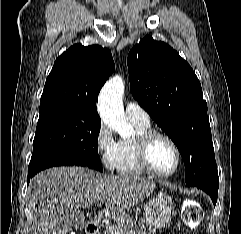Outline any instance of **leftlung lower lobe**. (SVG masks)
<instances>
[{"mask_svg": "<svg viewBox=\"0 0 241 234\" xmlns=\"http://www.w3.org/2000/svg\"><path fill=\"white\" fill-rule=\"evenodd\" d=\"M195 187H198L202 190H204L207 194H209V196L211 197L213 204L215 205L217 202V197H218V188H212L210 186L207 185H201L198 184Z\"/></svg>", "mask_w": 241, "mask_h": 234, "instance_id": "left-lung-lower-lobe-1", "label": "left lung lower lobe"}]
</instances>
